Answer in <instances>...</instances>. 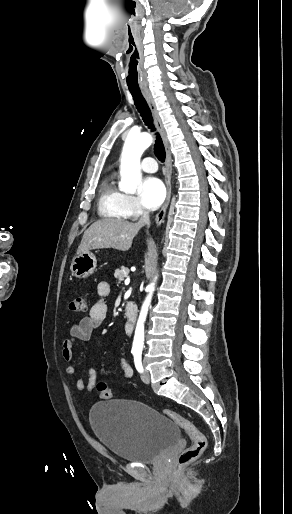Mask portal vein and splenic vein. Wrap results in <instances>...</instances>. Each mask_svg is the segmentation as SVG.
I'll return each mask as SVG.
<instances>
[{
	"label": "portal vein and splenic vein",
	"instance_id": "portal-vein-and-splenic-vein-1",
	"mask_svg": "<svg viewBox=\"0 0 292 514\" xmlns=\"http://www.w3.org/2000/svg\"><path fill=\"white\" fill-rule=\"evenodd\" d=\"M129 282H130V280H125L126 286H128Z\"/></svg>",
	"mask_w": 292,
	"mask_h": 514
}]
</instances>
